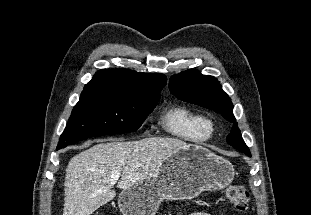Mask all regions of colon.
Listing matches in <instances>:
<instances>
[{
    "mask_svg": "<svg viewBox=\"0 0 311 215\" xmlns=\"http://www.w3.org/2000/svg\"><path fill=\"white\" fill-rule=\"evenodd\" d=\"M230 204L238 211H246L249 206V192L242 185H232L227 189Z\"/></svg>",
    "mask_w": 311,
    "mask_h": 215,
    "instance_id": "5ec220e1",
    "label": "colon"
}]
</instances>
